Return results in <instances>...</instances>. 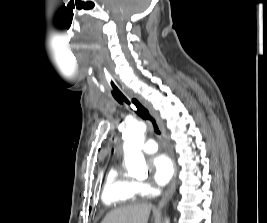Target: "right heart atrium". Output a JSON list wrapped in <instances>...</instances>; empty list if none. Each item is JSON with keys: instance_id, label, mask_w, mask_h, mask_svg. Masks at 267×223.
<instances>
[{"instance_id": "d8ad5b80", "label": "right heart atrium", "mask_w": 267, "mask_h": 223, "mask_svg": "<svg viewBox=\"0 0 267 223\" xmlns=\"http://www.w3.org/2000/svg\"><path fill=\"white\" fill-rule=\"evenodd\" d=\"M137 186L140 193L149 194L151 192V189L147 184L137 183Z\"/></svg>"}]
</instances>
